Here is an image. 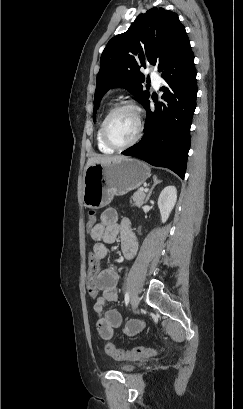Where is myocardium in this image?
Returning <instances> with one entry per match:
<instances>
[{"instance_id":"f54148a6","label":"myocardium","mask_w":243,"mask_h":409,"mask_svg":"<svg viewBox=\"0 0 243 409\" xmlns=\"http://www.w3.org/2000/svg\"><path fill=\"white\" fill-rule=\"evenodd\" d=\"M123 109H129L131 111H133V113L135 114L136 117V121H137V132L135 134V136L128 142L124 143V144H117L114 141L111 140L109 134H108V124L109 121L111 120V118L119 111L123 110ZM143 129H144V123H143V117H142V111L141 108L134 102L132 101H123L118 103L117 105H115L110 111L109 113L106 115V117L103 120L102 123V129H101V134H102V139L105 142V144L107 146H109L110 148L114 149V150H122L125 148H128L132 145H134L142 136L143 133Z\"/></svg>"}]
</instances>
